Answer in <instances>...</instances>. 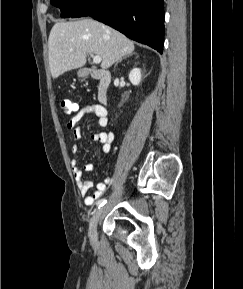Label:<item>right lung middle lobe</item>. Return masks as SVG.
<instances>
[{"label": "right lung middle lobe", "instance_id": "right-lung-middle-lobe-1", "mask_svg": "<svg viewBox=\"0 0 243 289\" xmlns=\"http://www.w3.org/2000/svg\"><path fill=\"white\" fill-rule=\"evenodd\" d=\"M53 5L61 9V16L70 17L76 10L84 6L89 0H50Z\"/></svg>", "mask_w": 243, "mask_h": 289}]
</instances>
